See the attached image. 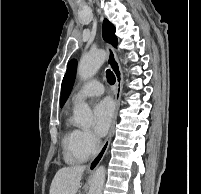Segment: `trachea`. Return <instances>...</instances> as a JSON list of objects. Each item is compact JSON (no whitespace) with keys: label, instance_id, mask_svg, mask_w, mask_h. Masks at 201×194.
<instances>
[{"label":"trachea","instance_id":"3493384b","mask_svg":"<svg viewBox=\"0 0 201 194\" xmlns=\"http://www.w3.org/2000/svg\"><path fill=\"white\" fill-rule=\"evenodd\" d=\"M106 78H107V82L110 85H113L116 81L115 75L113 74V72L110 69L106 70Z\"/></svg>","mask_w":201,"mask_h":194}]
</instances>
